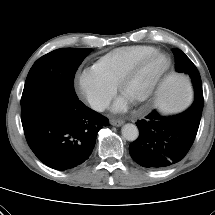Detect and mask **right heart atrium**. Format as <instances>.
<instances>
[{
	"mask_svg": "<svg viewBox=\"0 0 215 215\" xmlns=\"http://www.w3.org/2000/svg\"><path fill=\"white\" fill-rule=\"evenodd\" d=\"M75 87L77 93L98 111L104 110L109 105L117 89L113 82L94 67L86 68L77 73Z\"/></svg>",
	"mask_w": 215,
	"mask_h": 215,
	"instance_id": "d8ad5b80",
	"label": "right heart atrium"
}]
</instances>
